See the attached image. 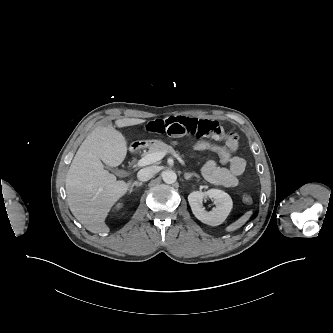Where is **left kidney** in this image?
Returning <instances> with one entry per match:
<instances>
[{"label": "left kidney", "mask_w": 333, "mask_h": 333, "mask_svg": "<svg viewBox=\"0 0 333 333\" xmlns=\"http://www.w3.org/2000/svg\"><path fill=\"white\" fill-rule=\"evenodd\" d=\"M207 197L213 199L216 205L211 211L203 207V201ZM188 202L195 217L211 226L223 223L233 206L231 197L219 189H210L206 192L194 191L189 194Z\"/></svg>", "instance_id": "5707ae66"}]
</instances>
